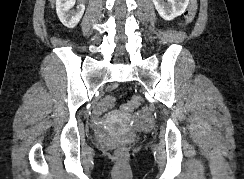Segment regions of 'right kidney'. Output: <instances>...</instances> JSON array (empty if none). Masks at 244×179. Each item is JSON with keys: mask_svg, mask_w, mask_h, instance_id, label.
Masks as SVG:
<instances>
[{"mask_svg": "<svg viewBox=\"0 0 244 179\" xmlns=\"http://www.w3.org/2000/svg\"><path fill=\"white\" fill-rule=\"evenodd\" d=\"M75 2L76 0H56L57 16L66 28H75L84 14V4L77 6V10H71Z\"/></svg>", "mask_w": 244, "mask_h": 179, "instance_id": "ca27d5eb", "label": "right kidney"}]
</instances>
